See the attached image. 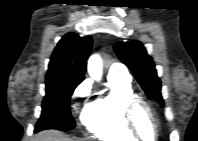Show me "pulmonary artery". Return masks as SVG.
<instances>
[{
	"label": "pulmonary artery",
	"instance_id": "obj_1",
	"mask_svg": "<svg viewBox=\"0 0 198 141\" xmlns=\"http://www.w3.org/2000/svg\"><path fill=\"white\" fill-rule=\"evenodd\" d=\"M130 75L126 72L124 67L120 64H115L110 67L108 72V80H120L130 82Z\"/></svg>",
	"mask_w": 198,
	"mask_h": 141
}]
</instances>
